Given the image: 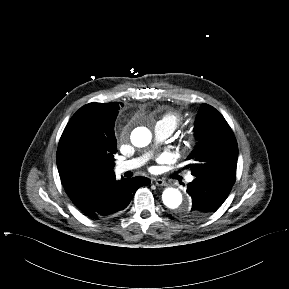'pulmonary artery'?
I'll use <instances>...</instances> for the list:
<instances>
[{
	"label": "pulmonary artery",
	"instance_id": "pulmonary-artery-1",
	"mask_svg": "<svg viewBox=\"0 0 289 289\" xmlns=\"http://www.w3.org/2000/svg\"><path fill=\"white\" fill-rule=\"evenodd\" d=\"M173 133V129L165 122L158 121L154 127L155 139L159 142L168 138ZM146 161V157H139L130 160L120 161L115 166V171L118 174L124 173L136 169L143 165ZM192 175H188L186 180L191 182L193 180Z\"/></svg>",
	"mask_w": 289,
	"mask_h": 289
}]
</instances>
